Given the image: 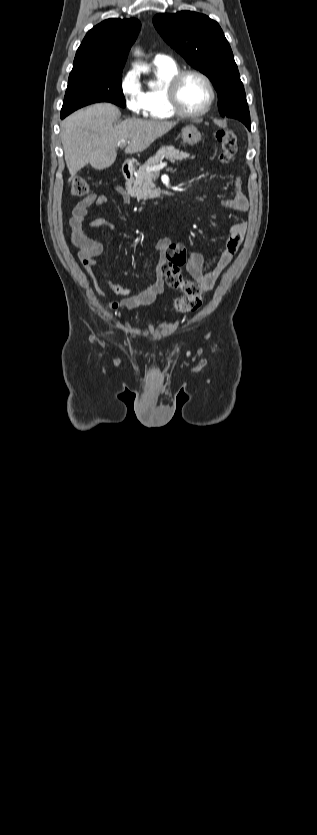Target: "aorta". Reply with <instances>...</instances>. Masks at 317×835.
I'll return each mask as SVG.
<instances>
[{
    "instance_id": "762f6f07",
    "label": "aorta",
    "mask_w": 317,
    "mask_h": 835,
    "mask_svg": "<svg viewBox=\"0 0 317 835\" xmlns=\"http://www.w3.org/2000/svg\"><path fill=\"white\" fill-rule=\"evenodd\" d=\"M139 68H140V69H141V71H142V72H144V73H145V72H148V68H147V67H139ZM149 85H150V86H153V85H154V83H152V82H151Z\"/></svg>"
}]
</instances>
